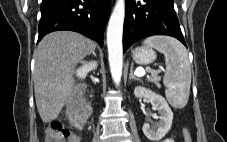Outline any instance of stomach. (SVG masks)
<instances>
[{
	"label": "stomach",
	"instance_id": "1",
	"mask_svg": "<svg viewBox=\"0 0 227 142\" xmlns=\"http://www.w3.org/2000/svg\"><path fill=\"white\" fill-rule=\"evenodd\" d=\"M132 58L136 63L146 65L156 59V53L149 47H137L132 51Z\"/></svg>",
	"mask_w": 227,
	"mask_h": 142
}]
</instances>
